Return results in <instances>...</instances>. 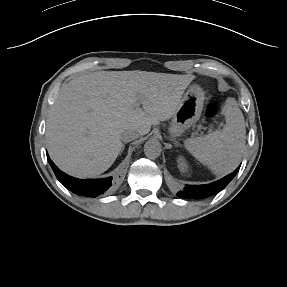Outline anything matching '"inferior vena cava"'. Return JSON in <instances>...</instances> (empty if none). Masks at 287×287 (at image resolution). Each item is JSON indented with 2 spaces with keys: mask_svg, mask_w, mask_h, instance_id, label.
I'll return each mask as SVG.
<instances>
[{
  "mask_svg": "<svg viewBox=\"0 0 287 287\" xmlns=\"http://www.w3.org/2000/svg\"><path fill=\"white\" fill-rule=\"evenodd\" d=\"M138 137L139 133L137 130L134 129H127L121 135V139L123 142H130Z\"/></svg>",
  "mask_w": 287,
  "mask_h": 287,
  "instance_id": "obj_1",
  "label": "inferior vena cava"
}]
</instances>
